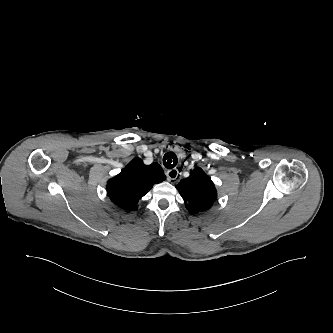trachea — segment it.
I'll list each match as a JSON object with an SVG mask.
<instances>
[{
    "instance_id": "1",
    "label": "trachea",
    "mask_w": 333,
    "mask_h": 333,
    "mask_svg": "<svg viewBox=\"0 0 333 333\" xmlns=\"http://www.w3.org/2000/svg\"><path fill=\"white\" fill-rule=\"evenodd\" d=\"M177 162V156L173 152H167L163 157V164L168 169L174 168L177 165Z\"/></svg>"
}]
</instances>
